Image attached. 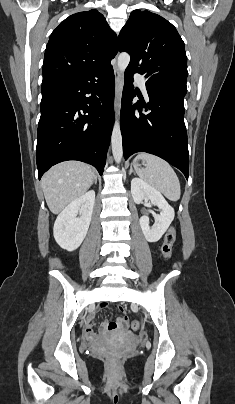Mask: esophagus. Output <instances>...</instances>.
<instances>
[{
    "label": "esophagus",
    "mask_w": 235,
    "mask_h": 404,
    "mask_svg": "<svg viewBox=\"0 0 235 404\" xmlns=\"http://www.w3.org/2000/svg\"><path fill=\"white\" fill-rule=\"evenodd\" d=\"M114 75H115V83H116V93H115V110H118L119 107V100H120V93L123 86V80L121 78L120 72L117 66H114Z\"/></svg>",
    "instance_id": "obj_1"
}]
</instances>
